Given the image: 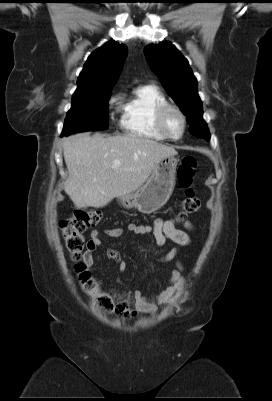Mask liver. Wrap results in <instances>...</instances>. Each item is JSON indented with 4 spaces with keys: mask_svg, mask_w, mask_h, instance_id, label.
<instances>
[{
    "mask_svg": "<svg viewBox=\"0 0 272 401\" xmlns=\"http://www.w3.org/2000/svg\"><path fill=\"white\" fill-rule=\"evenodd\" d=\"M63 154L69 173L66 194L77 208H100L138 190L156 164L177 151L136 135L78 133L63 140ZM115 160L120 161L117 168L113 167Z\"/></svg>",
    "mask_w": 272,
    "mask_h": 401,
    "instance_id": "liver-1",
    "label": "liver"
}]
</instances>
